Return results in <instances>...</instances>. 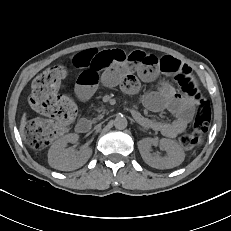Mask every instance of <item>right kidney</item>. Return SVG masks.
Listing matches in <instances>:
<instances>
[{"mask_svg":"<svg viewBox=\"0 0 231 231\" xmlns=\"http://www.w3.org/2000/svg\"><path fill=\"white\" fill-rule=\"evenodd\" d=\"M79 139L77 134H68L55 141L48 151V163L51 167L71 171L83 166L92 154V149L84 147L80 152L73 148H65L68 143H75Z\"/></svg>","mask_w":231,"mask_h":231,"instance_id":"obj_1","label":"right kidney"}]
</instances>
